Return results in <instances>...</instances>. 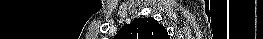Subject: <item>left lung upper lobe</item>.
Masks as SVG:
<instances>
[{
	"label": "left lung upper lobe",
	"mask_w": 263,
	"mask_h": 39,
	"mask_svg": "<svg viewBox=\"0 0 263 39\" xmlns=\"http://www.w3.org/2000/svg\"><path fill=\"white\" fill-rule=\"evenodd\" d=\"M117 39H169L166 29L154 18H139L123 26Z\"/></svg>",
	"instance_id": "obj_1"
}]
</instances>
